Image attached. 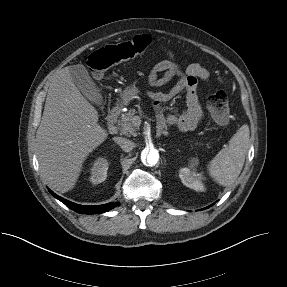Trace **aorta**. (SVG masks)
<instances>
[{
	"label": "aorta",
	"mask_w": 287,
	"mask_h": 287,
	"mask_svg": "<svg viewBox=\"0 0 287 287\" xmlns=\"http://www.w3.org/2000/svg\"><path fill=\"white\" fill-rule=\"evenodd\" d=\"M141 161L148 166H154L159 161V152L155 148H145L141 152Z\"/></svg>",
	"instance_id": "aorta-1"
}]
</instances>
